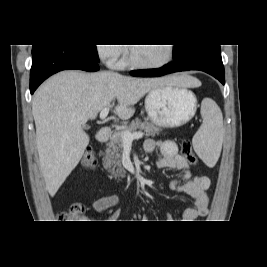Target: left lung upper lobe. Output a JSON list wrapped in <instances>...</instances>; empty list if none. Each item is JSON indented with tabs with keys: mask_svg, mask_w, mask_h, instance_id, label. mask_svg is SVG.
Listing matches in <instances>:
<instances>
[{
	"mask_svg": "<svg viewBox=\"0 0 267 267\" xmlns=\"http://www.w3.org/2000/svg\"><path fill=\"white\" fill-rule=\"evenodd\" d=\"M194 45H175V48L173 49V56L178 57L180 56L184 51L189 49Z\"/></svg>",
	"mask_w": 267,
	"mask_h": 267,
	"instance_id": "5c2ea615",
	"label": "left lung upper lobe"
}]
</instances>
